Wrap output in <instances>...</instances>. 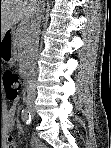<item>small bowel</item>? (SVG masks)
<instances>
[{"mask_svg": "<svg viewBox=\"0 0 111 148\" xmlns=\"http://www.w3.org/2000/svg\"><path fill=\"white\" fill-rule=\"evenodd\" d=\"M16 113H17V107L16 105H12L8 110L9 121L7 126L9 131H11L15 126L14 117ZM31 144L35 148L42 147L41 144L35 138L31 139ZM12 147H17V146L14 140L11 137H8L6 148H12Z\"/></svg>", "mask_w": 111, "mask_h": 148, "instance_id": "1", "label": "small bowel"}]
</instances>
